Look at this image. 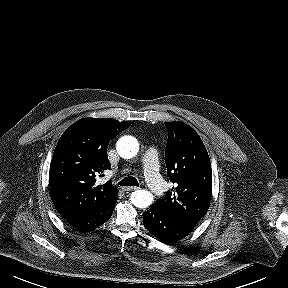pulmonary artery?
<instances>
[{
  "mask_svg": "<svg viewBox=\"0 0 288 288\" xmlns=\"http://www.w3.org/2000/svg\"><path fill=\"white\" fill-rule=\"evenodd\" d=\"M145 181L152 192L161 195L166 190V183L159 173L158 156L153 148H149L142 159Z\"/></svg>",
  "mask_w": 288,
  "mask_h": 288,
  "instance_id": "1",
  "label": "pulmonary artery"
}]
</instances>
